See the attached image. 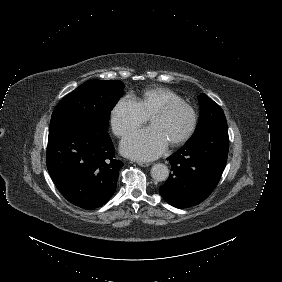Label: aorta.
<instances>
[{"mask_svg": "<svg viewBox=\"0 0 282 282\" xmlns=\"http://www.w3.org/2000/svg\"><path fill=\"white\" fill-rule=\"evenodd\" d=\"M151 176L155 181H164L169 176V169L163 163H156L151 168Z\"/></svg>", "mask_w": 282, "mask_h": 282, "instance_id": "aorta-1", "label": "aorta"}]
</instances>
